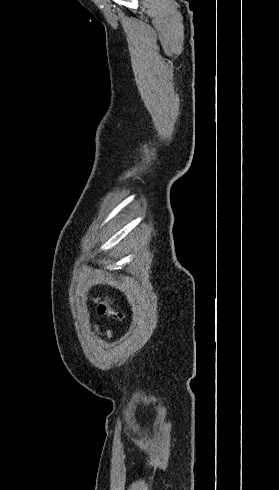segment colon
I'll return each mask as SVG.
<instances>
[{
    "label": "colon",
    "instance_id": "obj_1",
    "mask_svg": "<svg viewBox=\"0 0 279 490\" xmlns=\"http://www.w3.org/2000/svg\"><path fill=\"white\" fill-rule=\"evenodd\" d=\"M98 313L100 315H108L111 317H114L117 315V312L114 309H112V308H110V307H108L102 303L98 304Z\"/></svg>",
    "mask_w": 279,
    "mask_h": 490
}]
</instances>
